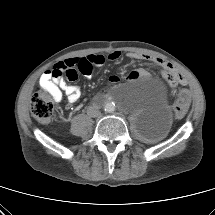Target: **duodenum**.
<instances>
[{
  "label": "duodenum",
  "instance_id": "duodenum-1",
  "mask_svg": "<svg viewBox=\"0 0 215 215\" xmlns=\"http://www.w3.org/2000/svg\"><path fill=\"white\" fill-rule=\"evenodd\" d=\"M108 99L107 98H103L101 101L102 102H105V101H107Z\"/></svg>",
  "mask_w": 215,
  "mask_h": 215
}]
</instances>
